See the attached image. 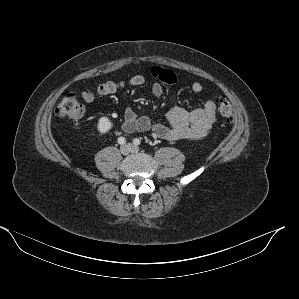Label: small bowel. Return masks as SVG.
Returning a JSON list of instances; mask_svg holds the SVG:
<instances>
[{
  "instance_id": "obj_1",
  "label": "small bowel",
  "mask_w": 299,
  "mask_h": 299,
  "mask_svg": "<svg viewBox=\"0 0 299 299\" xmlns=\"http://www.w3.org/2000/svg\"><path fill=\"white\" fill-rule=\"evenodd\" d=\"M151 75L158 81L152 85V93L156 97L163 94L164 85H172L177 81L176 74L168 69L154 66ZM145 83V77L137 74L126 81H108L99 83L95 90L85 89L82 98L87 103H92L96 95L107 96L129 87L141 86ZM191 90L201 94L204 87L199 82L191 85ZM217 121L216 104L214 99H208L202 107L188 111L182 107L172 110L164 123L153 122L146 116H138L133 109L126 105L122 130L125 133L153 132L157 137L173 141L183 139H198L204 137Z\"/></svg>"
}]
</instances>
